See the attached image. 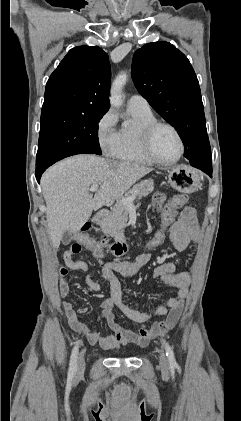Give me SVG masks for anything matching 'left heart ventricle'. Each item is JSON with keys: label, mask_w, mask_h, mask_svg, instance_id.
Returning a JSON list of instances; mask_svg holds the SVG:
<instances>
[{"label": "left heart ventricle", "mask_w": 241, "mask_h": 421, "mask_svg": "<svg viewBox=\"0 0 241 421\" xmlns=\"http://www.w3.org/2000/svg\"><path fill=\"white\" fill-rule=\"evenodd\" d=\"M152 145L155 154L162 160H172L180 152L177 136L166 127H161L155 132Z\"/></svg>", "instance_id": "b2bd125f"}]
</instances>
